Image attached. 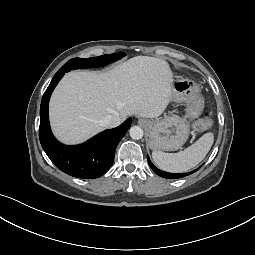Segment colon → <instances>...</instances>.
I'll return each mask as SVG.
<instances>
[{
  "label": "colon",
  "mask_w": 255,
  "mask_h": 255,
  "mask_svg": "<svg viewBox=\"0 0 255 255\" xmlns=\"http://www.w3.org/2000/svg\"><path fill=\"white\" fill-rule=\"evenodd\" d=\"M212 117L209 113H206L202 118L196 121L194 124L195 129L204 130L211 125Z\"/></svg>",
  "instance_id": "obj_1"
}]
</instances>
